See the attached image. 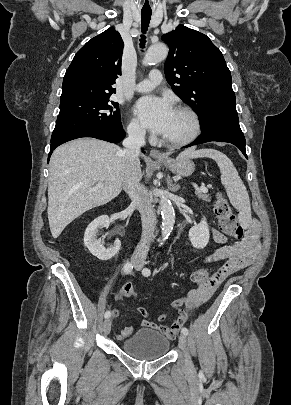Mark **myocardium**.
Instances as JSON below:
<instances>
[{
	"label": "myocardium",
	"mask_w": 291,
	"mask_h": 405,
	"mask_svg": "<svg viewBox=\"0 0 291 405\" xmlns=\"http://www.w3.org/2000/svg\"><path fill=\"white\" fill-rule=\"evenodd\" d=\"M175 110L185 113L191 122V131L190 133L180 139H169L162 137V142L170 147H183L192 143L201 133V122L198 114L189 106L178 105L175 107Z\"/></svg>",
	"instance_id": "1"
}]
</instances>
